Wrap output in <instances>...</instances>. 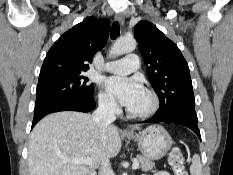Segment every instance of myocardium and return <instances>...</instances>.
<instances>
[{
    "label": "myocardium",
    "instance_id": "myocardium-1",
    "mask_svg": "<svg viewBox=\"0 0 233 175\" xmlns=\"http://www.w3.org/2000/svg\"><path fill=\"white\" fill-rule=\"evenodd\" d=\"M144 95L148 99V106L140 111H131L128 109L127 114L129 117L140 119L148 118L157 112L160 106V100L157 94L152 90L147 89L144 91Z\"/></svg>",
    "mask_w": 233,
    "mask_h": 175
}]
</instances>
